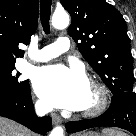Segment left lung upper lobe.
I'll return each mask as SVG.
<instances>
[{
    "instance_id": "left-lung-upper-lobe-1",
    "label": "left lung upper lobe",
    "mask_w": 136,
    "mask_h": 136,
    "mask_svg": "<svg viewBox=\"0 0 136 136\" xmlns=\"http://www.w3.org/2000/svg\"><path fill=\"white\" fill-rule=\"evenodd\" d=\"M70 13L69 35L113 94L133 91V57L126 22L105 0H61Z\"/></svg>"
}]
</instances>
